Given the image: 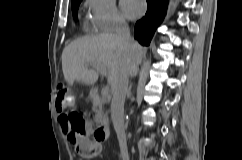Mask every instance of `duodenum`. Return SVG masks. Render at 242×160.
Segmentation results:
<instances>
[{
  "label": "duodenum",
  "instance_id": "duodenum-1",
  "mask_svg": "<svg viewBox=\"0 0 242 160\" xmlns=\"http://www.w3.org/2000/svg\"><path fill=\"white\" fill-rule=\"evenodd\" d=\"M91 96L93 100L98 103L99 102V92L97 89H93L91 92ZM109 126L107 123H102L100 124L97 128L94 129L93 134L95 139L100 142L104 143L108 140L109 138Z\"/></svg>",
  "mask_w": 242,
  "mask_h": 160
}]
</instances>
